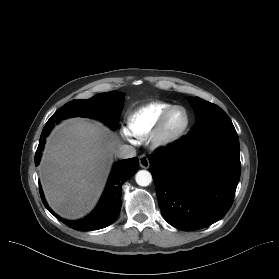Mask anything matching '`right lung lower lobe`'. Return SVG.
<instances>
[{
	"mask_svg": "<svg viewBox=\"0 0 279 279\" xmlns=\"http://www.w3.org/2000/svg\"><path fill=\"white\" fill-rule=\"evenodd\" d=\"M53 124L46 125L41 133L39 145L35 154V165H39L45 138L51 131ZM139 162L137 158L126 159L114 165L105 192L99 205L92 214L78 221H68L57 216L47 205L41 186L40 195L45 207L61 222L67 226L79 230H97L110 225L119 215L121 208V187L122 184L131 178L138 170Z\"/></svg>",
	"mask_w": 279,
	"mask_h": 279,
	"instance_id": "1",
	"label": "right lung lower lobe"
}]
</instances>
